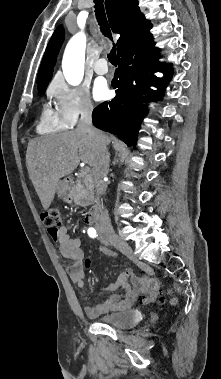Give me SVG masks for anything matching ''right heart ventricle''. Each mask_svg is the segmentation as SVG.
I'll use <instances>...</instances> for the list:
<instances>
[{
	"label": "right heart ventricle",
	"instance_id": "right-heart-ventricle-1",
	"mask_svg": "<svg viewBox=\"0 0 221 379\" xmlns=\"http://www.w3.org/2000/svg\"><path fill=\"white\" fill-rule=\"evenodd\" d=\"M68 125L48 103L43 105L36 129L41 134H50L66 129Z\"/></svg>",
	"mask_w": 221,
	"mask_h": 379
}]
</instances>
